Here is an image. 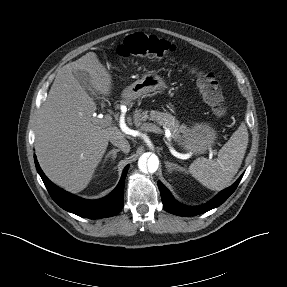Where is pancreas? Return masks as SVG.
<instances>
[{"label": "pancreas", "instance_id": "pancreas-1", "mask_svg": "<svg viewBox=\"0 0 287 287\" xmlns=\"http://www.w3.org/2000/svg\"><path fill=\"white\" fill-rule=\"evenodd\" d=\"M146 120L154 121L158 125L168 128L171 131V136L175 141L181 140L180 133L185 134L188 128L185 125H180L179 121L175 117L167 112H160L157 110L142 111L141 109L134 112V124L136 127L145 129ZM146 130V129H145Z\"/></svg>", "mask_w": 287, "mask_h": 287}]
</instances>
